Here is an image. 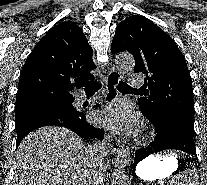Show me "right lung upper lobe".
Wrapping results in <instances>:
<instances>
[{"mask_svg": "<svg viewBox=\"0 0 207 185\" xmlns=\"http://www.w3.org/2000/svg\"><path fill=\"white\" fill-rule=\"evenodd\" d=\"M93 50L71 21L52 27L37 43L20 73L16 111L70 103L74 87L94 79Z\"/></svg>", "mask_w": 207, "mask_h": 185, "instance_id": "right-lung-upper-lobe-1", "label": "right lung upper lobe"}]
</instances>
